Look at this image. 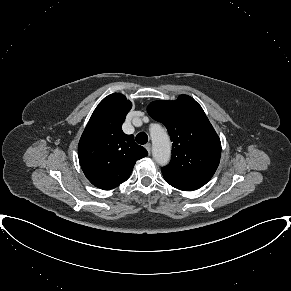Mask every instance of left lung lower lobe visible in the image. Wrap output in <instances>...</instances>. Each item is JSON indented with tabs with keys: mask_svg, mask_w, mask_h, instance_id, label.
Here are the masks:
<instances>
[{
	"mask_svg": "<svg viewBox=\"0 0 291 291\" xmlns=\"http://www.w3.org/2000/svg\"><path fill=\"white\" fill-rule=\"evenodd\" d=\"M165 181L171 186L180 189V190H196L202 187L204 184L184 180L181 178H177L167 173L162 172Z\"/></svg>",
	"mask_w": 291,
	"mask_h": 291,
	"instance_id": "0a47b994",
	"label": "left lung lower lobe"
}]
</instances>
